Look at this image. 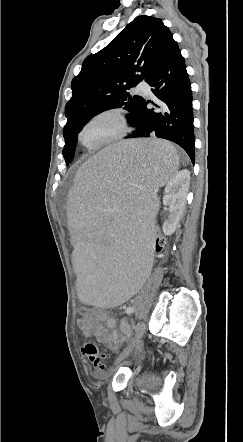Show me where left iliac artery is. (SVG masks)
I'll return each mask as SVG.
<instances>
[{
	"label": "left iliac artery",
	"instance_id": "44dca946",
	"mask_svg": "<svg viewBox=\"0 0 243 442\" xmlns=\"http://www.w3.org/2000/svg\"><path fill=\"white\" fill-rule=\"evenodd\" d=\"M125 312H126V314H132L133 312H134V308L133 307H128L126 310H125ZM137 328V327H136Z\"/></svg>",
	"mask_w": 243,
	"mask_h": 442
}]
</instances>
